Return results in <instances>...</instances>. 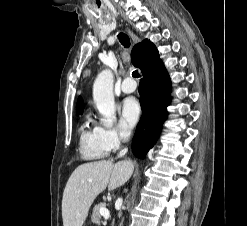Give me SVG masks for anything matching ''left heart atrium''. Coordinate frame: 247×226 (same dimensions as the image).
Here are the masks:
<instances>
[{
	"label": "left heart atrium",
	"instance_id": "39dd6f15",
	"mask_svg": "<svg viewBox=\"0 0 247 226\" xmlns=\"http://www.w3.org/2000/svg\"><path fill=\"white\" fill-rule=\"evenodd\" d=\"M140 105L134 98H128L122 105V122L126 127H133L140 116Z\"/></svg>",
	"mask_w": 247,
	"mask_h": 226
}]
</instances>
